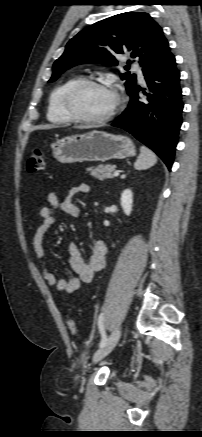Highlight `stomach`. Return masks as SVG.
Segmentation results:
<instances>
[{
    "instance_id": "0dacf381",
    "label": "stomach",
    "mask_w": 202,
    "mask_h": 437,
    "mask_svg": "<svg viewBox=\"0 0 202 437\" xmlns=\"http://www.w3.org/2000/svg\"><path fill=\"white\" fill-rule=\"evenodd\" d=\"M52 154L61 163L106 162L133 156L135 146L127 136L92 131L57 140L52 145Z\"/></svg>"
}]
</instances>
